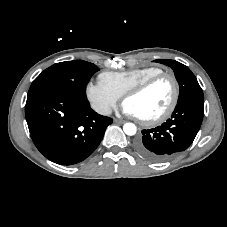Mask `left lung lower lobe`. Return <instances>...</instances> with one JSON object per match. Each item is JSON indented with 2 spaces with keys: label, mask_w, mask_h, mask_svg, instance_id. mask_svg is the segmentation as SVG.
I'll return each instance as SVG.
<instances>
[{
  "label": "left lung lower lobe",
  "mask_w": 227,
  "mask_h": 227,
  "mask_svg": "<svg viewBox=\"0 0 227 227\" xmlns=\"http://www.w3.org/2000/svg\"><path fill=\"white\" fill-rule=\"evenodd\" d=\"M204 98L190 97L177 103L171 118L162 125L142 130L135 142L144 158L160 162L186 150L195 139L204 115Z\"/></svg>",
  "instance_id": "1"
}]
</instances>
